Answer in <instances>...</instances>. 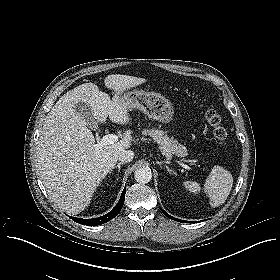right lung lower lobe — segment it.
Instances as JSON below:
<instances>
[{
	"instance_id": "obj_1",
	"label": "right lung lower lobe",
	"mask_w": 280,
	"mask_h": 280,
	"mask_svg": "<svg viewBox=\"0 0 280 280\" xmlns=\"http://www.w3.org/2000/svg\"><path fill=\"white\" fill-rule=\"evenodd\" d=\"M125 194H126V187L124 188V190L121 194L120 200H119L118 204L115 206V208L104 216H101L98 218H93V219H82V218H74V217H71V219L77 223H80L83 225H88V226H97V225L106 223L109 220L115 218L118 215V213L120 212V210L124 204Z\"/></svg>"
}]
</instances>
